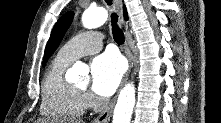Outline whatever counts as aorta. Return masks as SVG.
I'll list each match as a JSON object with an SVG mask.
<instances>
[{"instance_id": "aorta-1", "label": "aorta", "mask_w": 221, "mask_h": 123, "mask_svg": "<svg viewBox=\"0 0 221 123\" xmlns=\"http://www.w3.org/2000/svg\"><path fill=\"white\" fill-rule=\"evenodd\" d=\"M107 19L108 13L104 8H88L82 15L83 26L87 29L99 27L103 25ZM83 71L87 73V70H84L80 65H74L71 69V73L75 78ZM135 101V86L133 83H128L118 96L112 123H130Z\"/></svg>"}]
</instances>
